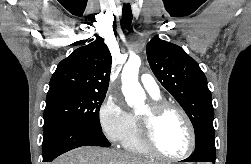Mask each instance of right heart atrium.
<instances>
[{"label":"right heart atrium","mask_w":251,"mask_h":164,"mask_svg":"<svg viewBox=\"0 0 251 164\" xmlns=\"http://www.w3.org/2000/svg\"><path fill=\"white\" fill-rule=\"evenodd\" d=\"M98 119L102 132L112 143L123 142L132 126V114L115 97H108L103 102Z\"/></svg>","instance_id":"d8ad5b80"}]
</instances>
